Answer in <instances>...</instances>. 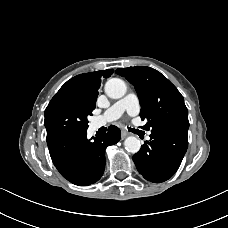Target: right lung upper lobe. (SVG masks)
<instances>
[{
	"mask_svg": "<svg viewBox=\"0 0 228 228\" xmlns=\"http://www.w3.org/2000/svg\"><path fill=\"white\" fill-rule=\"evenodd\" d=\"M113 71V69H108L77 75L68 80L55 95L71 98L88 110L93 111L101 78L110 77Z\"/></svg>",
	"mask_w": 228,
	"mask_h": 228,
	"instance_id": "right-lung-upper-lobe-1",
	"label": "right lung upper lobe"
}]
</instances>
